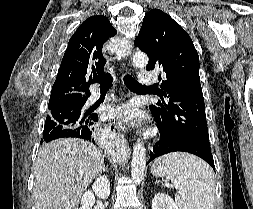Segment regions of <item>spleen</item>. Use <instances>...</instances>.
I'll list each match as a JSON object with an SVG mask.
<instances>
[{
    "label": "spleen",
    "instance_id": "spleen-1",
    "mask_svg": "<svg viewBox=\"0 0 253 209\" xmlns=\"http://www.w3.org/2000/svg\"><path fill=\"white\" fill-rule=\"evenodd\" d=\"M151 173L166 177L178 190L179 209H214V173L200 158L186 153H170L155 160Z\"/></svg>",
    "mask_w": 253,
    "mask_h": 209
}]
</instances>
